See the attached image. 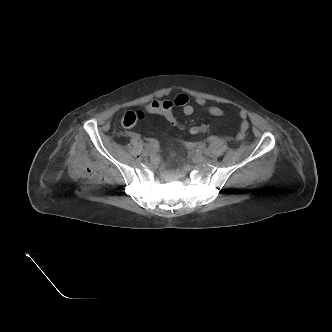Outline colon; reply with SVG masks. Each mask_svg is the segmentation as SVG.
<instances>
[{"instance_id": "1", "label": "colon", "mask_w": 332, "mask_h": 332, "mask_svg": "<svg viewBox=\"0 0 332 332\" xmlns=\"http://www.w3.org/2000/svg\"><path fill=\"white\" fill-rule=\"evenodd\" d=\"M146 111L151 114H160L169 124L180 130H187L189 133L196 135L208 132L207 124L187 126L184 124L174 112L172 104L166 100H154L146 106ZM143 113L141 111H127L122 117V124L125 127L134 126Z\"/></svg>"}]
</instances>
